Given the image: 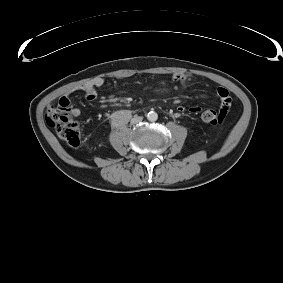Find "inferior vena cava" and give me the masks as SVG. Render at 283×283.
I'll list each match as a JSON object with an SVG mask.
<instances>
[{"mask_svg":"<svg viewBox=\"0 0 283 283\" xmlns=\"http://www.w3.org/2000/svg\"><path fill=\"white\" fill-rule=\"evenodd\" d=\"M143 120V117L137 116L131 119V123L135 124Z\"/></svg>","mask_w":283,"mask_h":283,"instance_id":"obj_1","label":"inferior vena cava"}]
</instances>
